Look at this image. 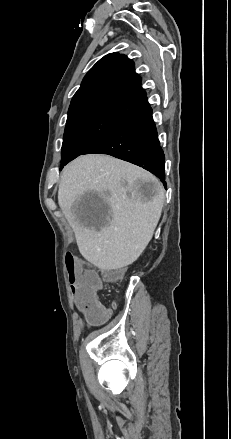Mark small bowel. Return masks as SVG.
Instances as JSON below:
<instances>
[{
    "mask_svg": "<svg viewBox=\"0 0 231 439\" xmlns=\"http://www.w3.org/2000/svg\"><path fill=\"white\" fill-rule=\"evenodd\" d=\"M75 289V288H74ZM108 316L110 315V310L107 311ZM88 323L94 324V325H101L105 320H88Z\"/></svg>",
    "mask_w": 231,
    "mask_h": 439,
    "instance_id": "1",
    "label": "small bowel"
}]
</instances>
